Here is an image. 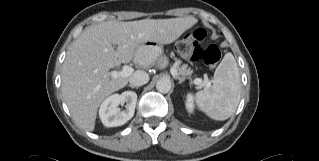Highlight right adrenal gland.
<instances>
[{
    "label": "right adrenal gland",
    "mask_w": 319,
    "mask_h": 161,
    "mask_svg": "<svg viewBox=\"0 0 319 161\" xmlns=\"http://www.w3.org/2000/svg\"><path fill=\"white\" fill-rule=\"evenodd\" d=\"M129 87H131L132 89H138V87H134V86H132V85H128Z\"/></svg>",
    "instance_id": "obj_1"
}]
</instances>
